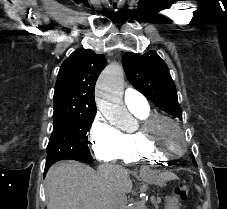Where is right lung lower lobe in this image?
I'll use <instances>...</instances> for the list:
<instances>
[{"label":"right lung lower lobe","mask_w":227,"mask_h":209,"mask_svg":"<svg viewBox=\"0 0 227 209\" xmlns=\"http://www.w3.org/2000/svg\"><path fill=\"white\" fill-rule=\"evenodd\" d=\"M64 160H66V159H64ZM49 168H50V167H49ZM49 168H48V169H49ZM48 169H47L46 171H44V174H46V172L48 171Z\"/></svg>","instance_id":"obj_1"}]
</instances>
